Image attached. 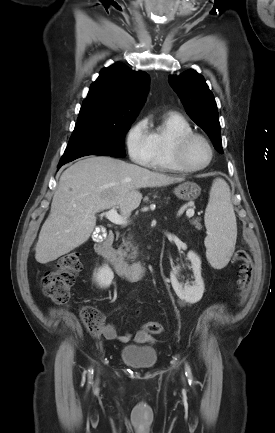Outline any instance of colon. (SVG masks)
Wrapping results in <instances>:
<instances>
[{
	"instance_id": "1",
	"label": "colon",
	"mask_w": 275,
	"mask_h": 433,
	"mask_svg": "<svg viewBox=\"0 0 275 433\" xmlns=\"http://www.w3.org/2000/svg\"><path fill=\"white\" fill-rule=\"evenodd\" d=\"M234 258L240 264L237 298L239 302H243L251 291L253 263L245 250H237ZM81 269V256L78 251H70L62 255L56 261L53 269L47 271L42 278L45 296L59 305H67L71 288ZM81 317L87 331L91 335H97L103 324L102 314L95 307L86 305L81 310ZM143 331L148 334H159L163 331V326L160 322H147L143 326Z\"/></svg>"
}]
</instances>
